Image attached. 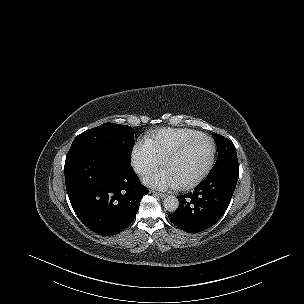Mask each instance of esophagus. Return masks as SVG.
Masks as SVG:
<instances>
[{
	"mask_svg": "<svg viewBox=\"0 0 304 304\" xmlns=\"http://www.w3.org/2000/svg\"><path fill=\"white\" fill-rule=\"evenodd\" d=\"M150 193H153L155 196H157V197H159L161 199H163V198H165L167 196V194L160 193V192H157L155 190H151Z\"/></svg>",
	"mask_w": 304,
	"mask_h": 304,
	"instance_id": "esophagus-1",
	"label": "esophagus"
}]
</instances>
